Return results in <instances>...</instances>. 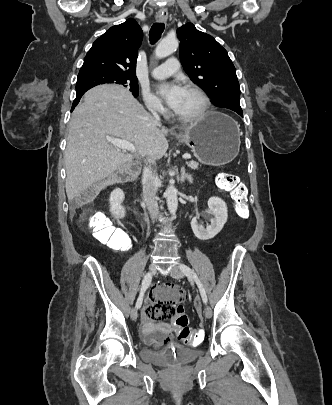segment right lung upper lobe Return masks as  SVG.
I'll list each match as a JSON object with an SVG mask.
<instances>
[{
    "label": "right lung upper lobe",
    "instance_id": "1",
    "mask_svg": "<svg viewBox=\"0 0 332 405\" xmlns=\"http://www.w3.org/2000/svg\"><path fill=\"white\" fill-rule=\"evenodd\" d=\"M143 32L134 19L109 28L93 43L79 73L110 71L136 76V59Z\"/></svg>",
    "mask_w": 332,
    "mask_h": 405
}]
</instances>
